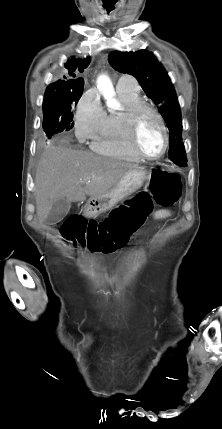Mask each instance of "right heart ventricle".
<instances>
[{
    "label": "right heart ventricle",
    "instance_id": "e07e8e85",
    "mask_svg": "<svg viewBox=\"0 0 222 429\" xmlns=\"http://www.w3.org/2000/svg\"><path fill=\"white\" fill-rule=\"evenodd\" d=\"M117 94L122 103L120 111H109L98 134L92 139L91 148L102 155L137 162L140 157L130 148L125 126V110L142 99L138 91L118 90Z\"/></svg>",
    "mask_w": 222,
    "mask_h": 429
}]
</instances>
